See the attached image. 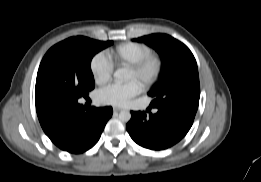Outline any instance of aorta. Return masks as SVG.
Listing matches in <instances>:
<instances>
[{
  "label": "aorta",
  "instance_id": "aorta-1",
  "mask_svg": "<svg viewBox=\"0 0 261 182\" xmlns=\"http://www.w3.org/2000/svg\"><path fill=\"white\" fill-rule=\"evenodd\" d=\"M128 75L125 68H119L114 72V80L117 84H121L128 78ZM119 119L122 122H128L131 119V113L128 110H122L119 113Z\"/></svg>",
  "mask_w": 261,
  "mask_h": 182
}]
</instances>
